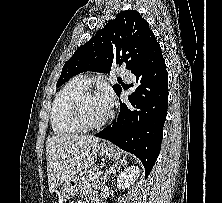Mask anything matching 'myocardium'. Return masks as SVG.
Instances as JSON below:
<instances>
[{"mask_svg": "<svg viewBox=\"0 0 222 203\" xmlns=\"http://www.w3.org/2000/svg\"><path fill=\"white\" fill-rule=\"evenodd\" d=\"M95 96L98 95L93 92H84L77 98L74 104L73 112L75 120L78 123V125L84 130L98 129L104 126L113 116V112L110 111L109 114L99 122L91 123L86 119L83 109L85 100L89 97H95Z\"/></svg>", "mask_w": 222, "mask_h": 203, "instance_id": "1", "label": "myocardium"}]
</instances>
